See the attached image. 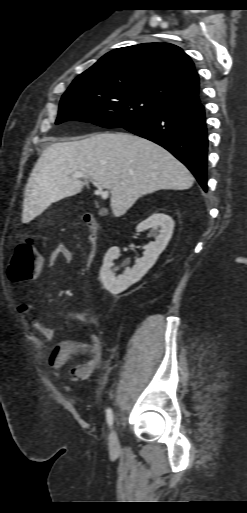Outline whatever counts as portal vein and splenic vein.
<instances>
[{"label":"portal vein and splenic vein","instance_id":"18ae733b","mask_svg":"<svg viewBox=\"0 0 247 513\" xmlns=\"http://www.w3.org/2000/svg\"><path fill=\"white\" fill-rule=\"evenodd\" d=\"M81 177L88 178L82 172H76L73 174L74 179L81 178ZM92 183L97 188L96 193L98 195H100L102 199H104V200L107 199L108 198V190H103V186L101 184L97 183L96 181H92Z\"/></svg>","mask_w":247,"mask_h":513}]
</instances>
